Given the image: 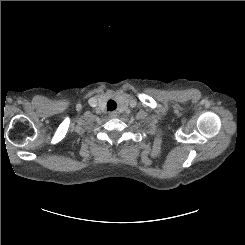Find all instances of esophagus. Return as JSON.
I'll use <instances>...</instances> for the list:
<instances>
[{"label": "esophagus", "instance_id": "esophagus-1", "mask_svg": "<svg viewBox=\"0 0 245 245\" xmlns=\"http://www.w3.org/2000/svg\"><path fill=\"white\" fill-rule=\"evenodd\" d=\"M109 116H110L111 118H117L119 115H118L117 112H111V113L109 114Z\"/></svg>", "mask_w": 245, "mask_h": 245}]
</instances>
